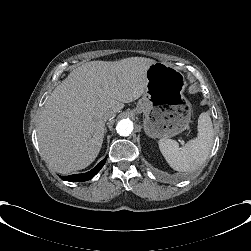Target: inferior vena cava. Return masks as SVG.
Returning <instances> with one entry per match:
<instances>
[{"label":"inferior vena cava","instance_id":"602c4592","mask_svg":"<svg viewBox=\"0 0 251 251\" xmlns=\"http://www.w3.org/2000/svg\"><path fill=\"white\" fill-rule=\"evenodd\" d=\"M114 116H115V113L112 114V117H114Z\"/></svg>","mask_w":251,"mask_h":251}]
</instances>
